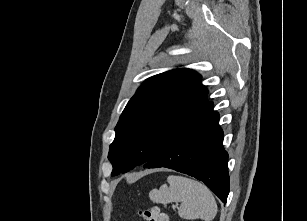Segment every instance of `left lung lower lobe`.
I'll use <instances>...</instances> for the list:
<instances>
[{
  "label": "left lung lower lobe",
  "instance_id": "1",
  "mask_svg": "<svg viewBox=\"0 0 307 221\" xmlns=\"http://www.w3.org/2000/svg\"><path fill=\"white\" fill-rule=\"evenodd\" d=\"M219 114L212 108L173 137L144 168L166 167L203 181L223 202L229 194L228 154L224 150Z\"/></svg>",
  "mask_w": 307,
  "mask_h": 221
}]
</instances>
